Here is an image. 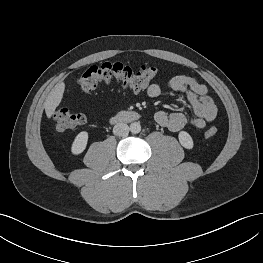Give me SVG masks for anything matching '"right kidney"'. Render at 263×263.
I'll return each mask as SVG.
<instances>
[{"label": "right kidney", "mask_w": 263, "mask_h": 263, "mask_svg": "<svg viewBox=\"0 0 263 263\" xmlns=\"http://www.w3.org/2000/svg\"><path fill=\"white\" fill-rule=\"evenodd\" d=\"M87 142H88V132L82 131L78 133V135L75 137L72 143L71 152L75 155L82 153L86 148Z\"/></svg>", "instance_id": "1"}]
</instances>
